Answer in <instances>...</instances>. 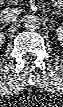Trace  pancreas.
Returning <instances> with one entry per match:
<instances>
[{
    "instance_id": "1",
    "label": "pancreas",
    "mask_w": 63,
    "mask_h": 107,
    "mask_svg": "<svg viewBox=\"0 0 63 107\" xmlns=\"http://www.w3.org/2000/svg\"><path fill=\"white\" fill-rule=\"evenodd\" d=\"M57 6L61 5V1H53Z\"/></svg>"
}]
</instances>
